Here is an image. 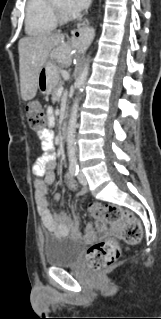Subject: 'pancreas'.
Wrapping results in <instances>:
<instances>
[{
  "label": "pancreas",
  "instance_id": "pancreas-1",
  "mask_svg": "<svg viewBox=\"0 0 161 319\" xmlns=\"http://www.w3.org/2000/svg\"><path fill=\"white\" fill-rule=\"evenodd\" d=\"M60 87H62L61 81L58 82V84L55 86V88L52 91V100L57 101L59 99V97L57 95V91Z\"/></svg>",
  "mask_w": 161,
  "mask_h": 319
}]
</instances>
